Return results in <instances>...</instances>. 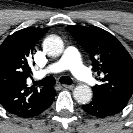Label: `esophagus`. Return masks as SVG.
Masks as SVG:
<instances>
[{
	"label": "esophagus",
	"instance_id": "34e87169",
	"mask_svg": "<svg viewBox=\"0 0 133 133\" xmlns=\"http://www.w3.org/2000/svg\"><path fill=\"white\" fill-rule=\"evenodd\" d=\"M62 87L66 88V89H72V88H74V85L63 84Z\"/></svg>",
	"mask_w": 133,
	"mask_h": 133
}]
</instances>
